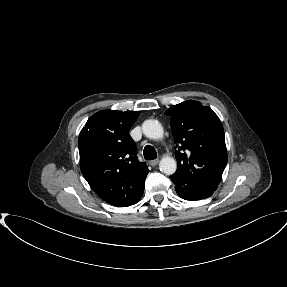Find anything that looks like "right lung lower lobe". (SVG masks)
<instances>
[{
	"instance_id": "1",
	"label": "right lung lower lobe",
	"mask_w": 287,
	"mask_h": 287,
	"mask_svg": "<svg viewBox=\"0 0 287 287\" xmlns=\"http://www.w3.org/2000/svg\"><path fill=\"white\" fill-rule=\"evenodd\" d=\"M142 195H143V193H142ZM142 195L138 198L137 202L140 200V198L142 197ZM137 202H136V203H137Z\"/></svg>"
}]
</instances>
